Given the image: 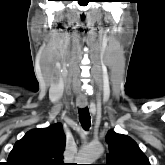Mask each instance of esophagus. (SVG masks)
<instances>
[{
  "instance_id": "esophagus-1",
  "label": "esophagus",
  "mask_w": 165,
  "mask_h": 165,
  "mask_svg": "<svg viewBox=\"0 0 165 165\" xmlns=\"http://www.w3.org/2000/svg\"><path fill=\"white\" fill-rule=\"evenodd\" d=\"M77 106L79 107V108H85L86 106H87V101L85 100V99H83V100H77Z\"/></svg>"
}]
</instances>
